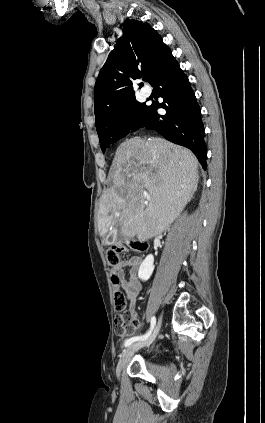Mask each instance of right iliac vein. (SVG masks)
Returning a JSON list of instances; mask_svg holds the SVG:
<instances>
[{
    "label": "right iliac vein",
    "mask_w": 265,
    "mask_h": 423,
    "mask_svg": "<svg viewBox=\"0 0 265 423\" xmlns=\"http://www.w3.org/2000/svg\"><path fill=\"white\" fill-rule=\"evenodd\" d=\"M161 326V318L159 319L153 333L149 336V338L145 341L142 342H138V343H134L132 345H130L127 349H125V351L123 352L122 356L119 359V362L117 364V368H116V373L119 376L122 372V370L125 368L127 362L129 361V359L132 357V355L138 351L139 349L150 345L153 340L156 338L159 329Z\"/></svg>",
    "instance_id": "right-iliac-vein-1"
}]
</instances>
